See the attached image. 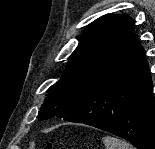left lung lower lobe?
<instances>
[{"label":"left lung lower lobe","instance_id":"obj_1","mask_svg":"<svg viewBox=\"0 0 155 149\" xmlns=\"http://www.w3.org/2000/svg\"><path fill=\"white\" fill-rule=\"evenodd\" d=\"M154 114L148 62L132 31L113 64L64 120L106 130L138 149H154Z\"/></svg>","mask_w":155,"mask_h":149}]
</instances>
